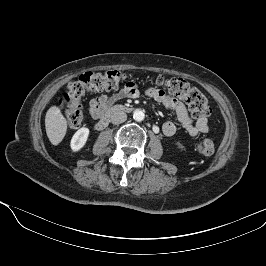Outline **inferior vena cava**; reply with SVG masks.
Segmentation results:
<instances>
[{
  "label": "inferior vena cava",
  "instance_id": "602c4592",
  "mask_svg": "<svg viewBox=\"0 0 266 266\" xmlns=\"http://www.w3.org/2000/svg\"><path fill=\"white\" fill-rule=\"evenodd\" d=\"M126 120H127V114L123 111H117L111 115V122L114 125L121 124L125 122Z\"/></svg>",
  "mask_w": 266,
  "mask_h": 266
}]
</instances>
